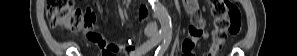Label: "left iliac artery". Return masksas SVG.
<instances>
[{
	"label": "left iliac artery",
	"instance_id": "left-iliac-artery-1",
	"mask_svg": "<svg viewBox=\"0 0 297 56\" xmlns=\"http://www.w3.org/2000/svg\"><path fill=\"white\" fill-rule=\"evenodd\" d=\"M171 41V36L167 35L164 39V43L159 46L155 52V56H162L166 48L168 47L169 43Z\"/></svg>",
	"mask_w": 297,
	"mask_h": 56
}]
</instances>
